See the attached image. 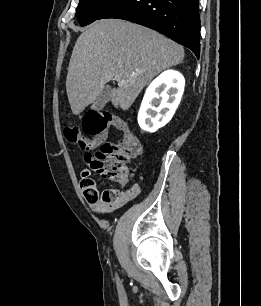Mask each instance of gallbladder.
Segmentation results:
<instances>
[{
    "label": "gallbladder",
    "mask_w": 261,
    "mask_h": 306,
    "mask_svg": "<svg viewBox=\"0 0 261 306\" xmlns=\"http://www.w3.org/2000/svg\"><path fill=\"white\" fill-rule=\"evenodd\" d=\"M112 89L110 86H105L101 91L96 101L92 105V109L100 111L104 108L106 103L111 99Z\"/></svg>",
    "instance_id": "bac80fb5"
}]
</instances>
